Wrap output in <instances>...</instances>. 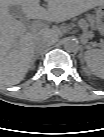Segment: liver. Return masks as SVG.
<instances>
[{
    "label": "liver",
    "mask_w": 104,
    "mask_h": 137,
    "mask_svg": "<svg viewBox=\"0 0 104 137\" xmlns=\"http://www.w3.org/2000/svg\"><path fill=\"white\" fill-rule=\"evenodd\" d=\"M40 0H0V83L13 86L20 83L36 57L40 43H54L60 30L42 28L28 31V26L17 20L10 6H18L29 19L61 22L89 9L103 5V0H46L47 9Z\"/></svg>",
    "instance_id": "obj_1"
}]
</instances>
